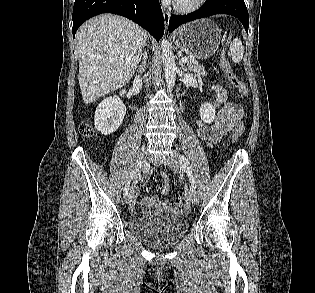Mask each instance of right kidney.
<instances>
[{
	"mask_svg": "<svg viewBox=\"0 0 315 293\" xmlns=\"http://www.w3.org/2000/svg\"><path fill=\"white\" fill-rule=\"evenodd\" d=\"M126 107L118 96L105 98L96 108L95 128L103 135L114 133L121 125Z\"/></svg>",
	"mask_w": 315,
	"mask_h": 293,
	"instance_id": "obj_1",
	"label": "right kidney"
}]
</instances>
